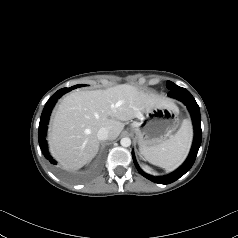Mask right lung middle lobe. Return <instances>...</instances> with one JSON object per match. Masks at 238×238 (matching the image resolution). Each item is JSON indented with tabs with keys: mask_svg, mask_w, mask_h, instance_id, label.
Returning a JSON list of instances; mask_svg holds the SVG:
<instances>
[{
	"mask_svg": "<svg viewBox=\"0 0 238 238\" xmlns=\"http://www.w3.org/2000/svg\"><path fill=\"white\" fill-rule=\"evenodd\" d=\"M77 87H82V86H84V85H76Z\"/></svg>",
	"mask_w": 238,
	"mask_h": 238,
	"instance_id": "1",
	"label": "right lung middle lobe"
}]
</instances>
